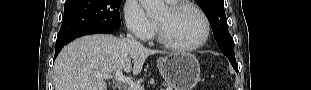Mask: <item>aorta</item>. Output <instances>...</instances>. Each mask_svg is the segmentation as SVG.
Listing matches in <instances>:
<instances>
[{"label": "aorta", "mask_w": 311, "mask_h": 90, "mask_svg": "<svg viewBox=\"0 0 311 90\" xmlns=\"http://www.w3.org/2000/svg\"><path fill=\"white\" fill-rule=\"evenodd\" d=\"M140 2L149 17L158 15L165 8L163 0H140Z\"/></svg>", "instance_id": "1"}]
</instances>
